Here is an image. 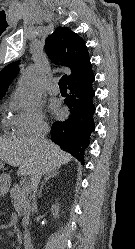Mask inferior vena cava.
I'll return each instance as SVG.
<instances>
[{
	"label": "inferior vena cava",
	"mask_w": 135,
	"mask_h": 249,
	"mask_svg": "<svg viewBox=\"0 0 135 249\" xmlns=\"http://www.w3.org/2000/svg\"><path fill=\"white\" fill-rule=\"evenodd\" d=\"M48 132H49L48 126H43L35 134V136L33 138H34V140L37 143L44 144L46 142L45 136L48 134ZM40 178H41V174L40 173H38V174H36V175H34V176L31 177V188L33 190V195H32V200H33L32 211L34 210V208L36 206V191H37V187H38V183L40 181Z\"/></svg>",
	"instance_id": "inferior-vena-cava-1"
}]
</instances>
